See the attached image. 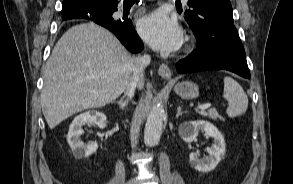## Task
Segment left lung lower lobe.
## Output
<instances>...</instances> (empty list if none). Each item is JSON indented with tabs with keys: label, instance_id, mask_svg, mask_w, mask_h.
<instances>
[{
	"label": "left lung lower lobe",
	"instance_id": "1",
	"mask_svg": "<svg viewBox=\"0 0 293 184\" xmlns=\"http://www.w3.org/2000/svg\"><path fill=\"white\" fill-rule=\"evenodd\" d=\"M195 36L197 49L177 63L179 73L224 69L250 78L245 51L233 24L226 25L223 31L213 33L211 38L204 33Z\"/></svg>",
	"mask_w": 293,
	"mask_h": 184
}]
</instances>
